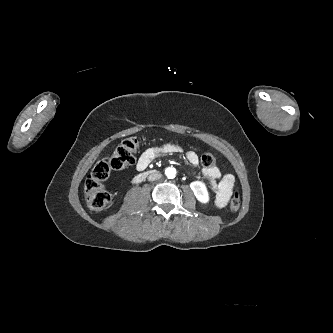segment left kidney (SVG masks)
Wrapping results in <instances>:
<instances>
[{
    "mask_svg": "<svg viewBox=\"0 0 333 333\" xmlns=\"http://www.w3.org/2000/svg\"><path fill=\"white\" fill-rule=\"evenodd\" d=\"M190 188L200 202L207 203L209 201V194L203 182L194 181L190 184Z\"/></svg>",
    "mask_w": 333,
    "mask_h": 333,
    "instance_id": "1",
    "label": "left kidney"
}]
</instances>
